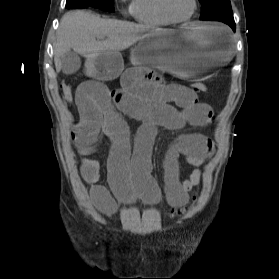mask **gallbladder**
Masks as SVG:
<instances>
[{"mask_svg":"<svg viewBox=\"0 0 279 279\" xmlns=\"http://www.w3.org/2000/svg\"><path fill=\"white\" fill-rule=\"evenodd\" d=\"M60 62H61V70L66 75L76 73L81 67L80 56L74 51L66 52L60 58Z\"/></svg>","mask_w":279,"mask_h":279,"instance_id":"1","label":"gallbladder"}]
</instances>
